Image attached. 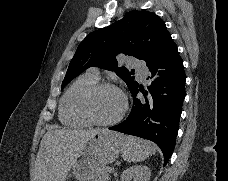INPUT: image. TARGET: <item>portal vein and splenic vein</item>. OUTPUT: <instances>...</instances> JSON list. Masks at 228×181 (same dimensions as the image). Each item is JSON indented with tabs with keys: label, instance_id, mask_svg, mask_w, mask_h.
Wrapping results in <instances>:
<instances>
[{
	"label": "portal vein and splenic vein",
	"instance_id": "18ae733b",
	"mask_svg": "<svg viewBox=\"0 0 228 181\" xmlns=\"http://www.w3.org/2000/svg\"><path fill=\"white\" fill-rule=\"evenodd\" d=\"M116 170H117V167H116V166H112V167L108 170V173H109V174H116Z\"/></svg>",
	"mask_w": 228,
	"mask_h": 181
}]
</instances>
